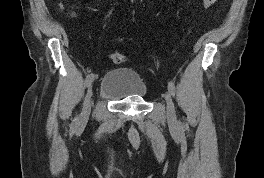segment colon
Segmentation results:
<instances>
[{
    "mask_svg": "<svg viewBox=\"0 0 264 178\" xmlns=\"http://www.w3.org/2000/svg\"><path fill=\"white\" fill-rule=\"evenodd\" d=\"M207 0H202L203 4L206 2ZM110 59L113 63L115 64H120L122 62L125 61L126 57L122 54V53H119V52H115V53H112L110 55Z\"/></svg>",
    "mask_w": 264,
    "mask_h": 178,
    "instance_id": "5ec220e1",
    "label": "colon"
}]
</instances>
